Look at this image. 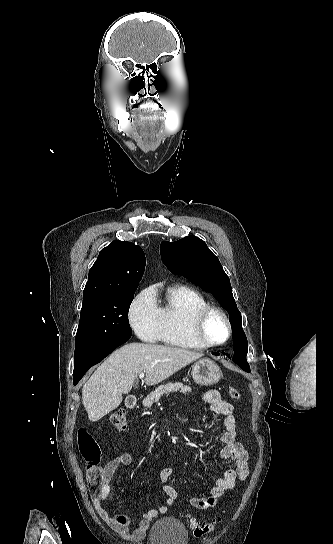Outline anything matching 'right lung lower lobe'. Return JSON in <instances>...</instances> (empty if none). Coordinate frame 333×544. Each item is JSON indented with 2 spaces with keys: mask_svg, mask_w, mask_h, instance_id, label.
<instances>
[{
  "mask_svg": "<svg viewBox=\"0 0 333 544\" xmlns=\"http://www.w3.org/2000/svg\"><path fill=\"white\" fill-rule=\"evenodd\" d=\"M131 336H121L110 343L104 345L99 350H97L95 353H93L90 357L86 358L81 363L74 366V372H73V383L76 385L81 378L84 376V374L88 371L90 367L93 365L99 363L102 361L107 355H109L115 348L120 346L121 344L125 343L130 339Z\"/></svg>",
  "mask_w": 333,
  "mask_h": 544,
  "instance_id": "1",
  "label": "right lung lower lobe"
}]
</instances>
